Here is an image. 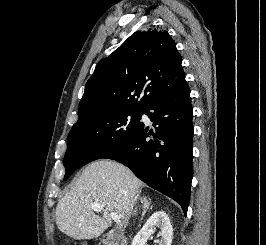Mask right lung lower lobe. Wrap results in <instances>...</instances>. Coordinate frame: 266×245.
<instances>
[{"label": "right lung lower lobe", "instance_id": "right-lung-lower-lobe-1", "mask_svg": "<svg viewBox=\"0 0 266 245\" xmlns=\"http://www.w3.org/2000/svg\"><path fill=\"white\" fill-rule=\"evenodd\" d=\"M189 94L185 80L161 94L144 112L153 122L155 132L141 122L125 146L103 157L129 167L147 185L175 200L185 215L193 177Z\"/></svg>", "mask_w": 266, "mask_h": 245}]
</instances>
